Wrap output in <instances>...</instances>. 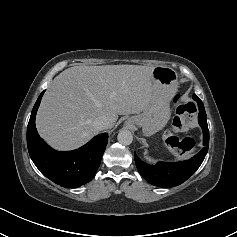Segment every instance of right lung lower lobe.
I'll return each instance as SVG.
<instances>
[{"label": "right lung lower lobe", "instance_id": "right-lung-lower-lobe-1", "mask_svg": "<svg viewBox=\"0 0 237 237\" xmlns=\"http://www.w3.org/2000/svg\"><path fill=\"white\" fill-rule=\"evenodd\" d=\"M44 91L38 97L27 127L30 157L39 171L54 183L75 188L92 180L107 145L108 135L100 134L83 147L67 152L55 151L39 136L35 116Z\"/></svg>", "mask_w": 237, "mask_h": 237}]
</instances>
